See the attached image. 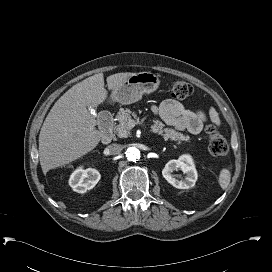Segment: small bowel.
I'll return each mask as SVG.
<instances>
[{"instance_id":"obj_1","label":"small bowel","mask_w":272,"mask_h":272,"mask_svg":"<svg viewBox=\"0 0 272 272\" xmlns=\"http://www.w3.org/2000/svg\"><path fill=\"white\" fill-rule=\"evenodd\" d=\"M156 114L167 124L178 130H187L193 134H199L208 118L215 124H219L217 111L212 107L208 113L202 110H192L184 107L173 99L164 100L156 110Z\"/></svg>"}]
</instances>
